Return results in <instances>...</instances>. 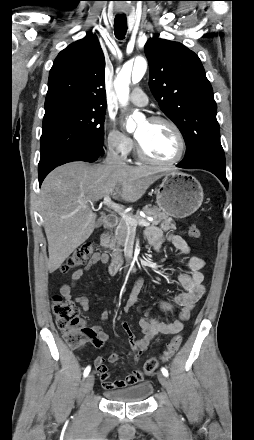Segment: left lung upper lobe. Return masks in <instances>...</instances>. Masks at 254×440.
Returning a JSON list of instances; mask_svg holds the SVG:
<instances>
[{"label":"left lung upper lobe","mask_w":254,"mask_h":440,"mask_svg":"<svg viewBox=\"0 0 254 440\" xmlns=\"http://www.w3.org/2000/svg\"><path fill=\"white\" fill-rule=\"evenodd\" d=\"M149 86L164 114L186 142L184 163L206 156L225 161L213 89L199 57L178 42L149 39Z\"/></svg>","instance_id":"obj_1"}]
</instances>
